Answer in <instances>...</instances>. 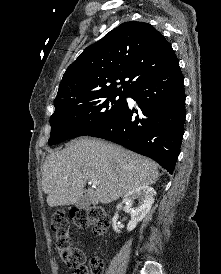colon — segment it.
I'll list each match as a JSON object with an SVG mask.
<instances>
[{
  "label": "colon",
  "instance_id": "obj_1",
  "mask_svg": "<svg viewBox=\"0 0 221 274\" xmlns=\"http://www.w3.org/2000/svg\"><path fill=\"white\" fill-rule=\"evenodd\" d=\"M70 218L77 228L90 227L96 236L104 235L109 226L108 213L98 206L72 209ZM69 226V219L63 211L59 210L52 215L51 228L55 233L56 246L62 262L74 270L73 274H102L103 264L96 258L91 260L89 268L84 266L83 252L71 244Z\"/></svg>",
  "mask_w": 221,
  "mask_h": 274
}]
</instances>
